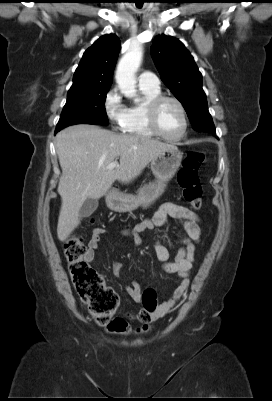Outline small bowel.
I'll list each match as a JSON object with an SVG mask.
<instances>
[{"mask_svg":"<svg viewBox=\"0 0 272 401\" xmlns=\"http://www.w3.org/2000/svg\"><path fill=\"white\" fill-rule=\"evenodd\" d=\"M171 218L180 223L184 234L180 237V247L178 248L174 259L170 260V253L167 246L160 240L154 244V251L158 260L162 263L163 269L167 273L176 274L180 279L179 286L175 289L172 296L162 302L152 312L140 310L136 314L129 315V319L140 324L139 327L133 329L126 319L115 318L108 325L109 331L120 336H129L132 333H144L148 330L150 322L157 320L169 313L184 297L189 285V273L193 267L195 260L196 244L201 240L200 219L195 212L187 207L166 202L162 204L154 215L142 220L132 226H126L120 229V235L130 240L134 246L141 243V234L145 231L154 230L162 227L167 220ZM106 233L103 228H95L92 231L91 238L88 243V249L85 254V260L92 262L95 252L99 248L102 235ZM122 263L116 262L113 265V273L115 276L120 275ZM125 290L134 302H141L142 291L137 282H132L125 286Z\"/></svg>","mask_w":272,"mask_h":401,"instance_id":"obj_1","label":"small bowel"}]
</instances>
